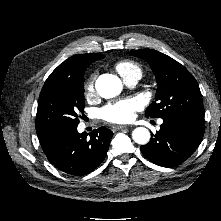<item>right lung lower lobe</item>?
<instances>
[{"mask_svg":"<svg viewBox=\"0 0 221 221\" xmlns=\"http://www.w3.org/2000/svg\"><path fill=\"white\" fill-rule=\"evenodd\" d=\"M112 131L101 127L95 129L90 138L87 133L68 129L39 138L48 160L61 171L82 176L94 170L105 158Z\"/></svg>","mask_w":221,"mask_h":221,"instance_id":"98d812e1","label":"right lung lower lobe"}]
</instances>
